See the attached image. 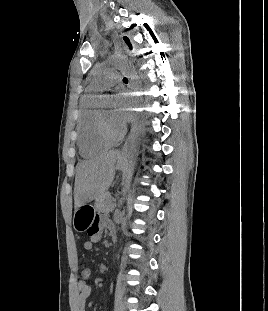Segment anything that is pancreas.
<instances>
[{
  "mask_svg": "<svg viewBox=\"0 0 268 311\" xmlns=\"http://www.w3.org/2000/svg\"><path fill=\"white\" fill-rule=\"evenodd\" d=\"M113 201L110 193H104L96 199L95 208L99 212H110L115 207Z\"/></svg>",
  "mask_w": 268,
  "mask_h": 311,
  "instance_id": "cf45deb5",
  "label": "pancreas"
}]
</instances>
